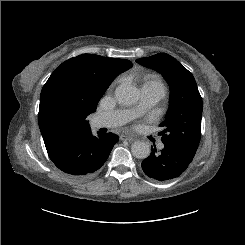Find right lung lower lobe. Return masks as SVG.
Masks as SVG:
<instances>
[{
  "mask_svg": "<svg viewBox=\"0 0 245 245\" xmlns=\"http://www.w3.org/2000/svg\"><path fill=\"white\" fill-rule=\"evenodd\" d=\"M117 142L116 135L99 132L95 137L90 130L73 139L51 160L72 178L87 180L98 172Z\"/></svg>",
  "mask_w": 245,
  "mask_h": 245,
  "instance_id": "1",
  "label": "right lung lower lobe"
}]
</instances>
